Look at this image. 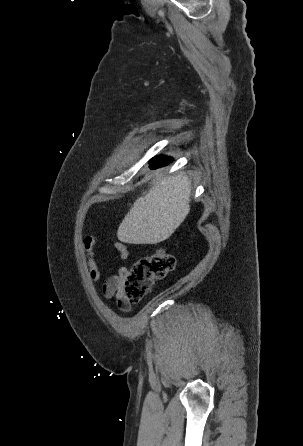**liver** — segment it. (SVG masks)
<instances>
[{
    "instance_id": "1",
    "label": "liver",
    "mask_w": 303,
    "mask_h": 446,
    "mask_svg": "<svg viewBox=\"0 0 303 446\" xmlns=\"http://www.w3.org/2000/svg\"><path fill=\"white\" fill-rule=\"evenodd\" d=\"M187 176L157 174L148 193L139 197L120 224L117 237L129 244H157L168 239L190 211Z\"/></svg>"
}]
</instances>
